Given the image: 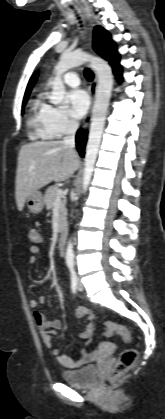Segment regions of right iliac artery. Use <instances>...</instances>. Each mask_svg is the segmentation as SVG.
I'll use <instances>...</instances> for the list:
<instances>
[{
	"mask_svg": "<svg viewBox=\"0 0 165 419\" xmlns=\"http://www.w3.org/2000/svg\"><path fill=\"white\" fill-rule=\"evenodd\" d=\"M70 273H71V289L73 293H76L77 290V276L76 272L74 271L73 265H69Z\"/></svg>",
	"mask_w": 165,
	"mask_h": 419,
	"instance_id": "82829eb1",
	"label": "right iliac artery"
}]
</instances>
